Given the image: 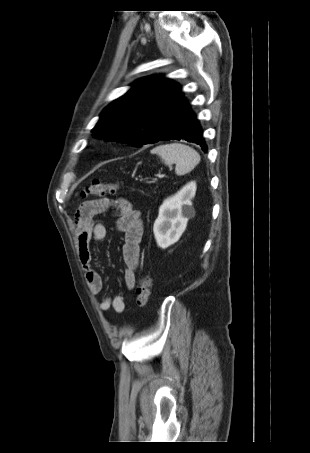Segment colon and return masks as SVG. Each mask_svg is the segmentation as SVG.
Returning <instances> with one entry per match:
<instances>
[{"label":"colon","instance_id":"colon-1","mask_svg":"<svg viewBox=\"0 0 310 453\" xmlns=\"http://www.w3.org/2000/svg\"><path fill=\"white\" fill-rule=\"evenodd\" d=\"M118 189V184L113 182H102L94 180L86 185L81 191L82 198L92 196H102L106 193L114 194ZM151 294V279L148 276H142L139 279L136 288L135 302L137 306L144 307L147 305Z\"/></svg>","mask_w":310,"mask_h":453}]
</instances>
